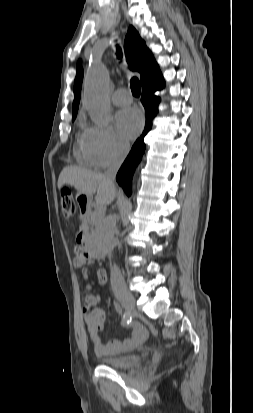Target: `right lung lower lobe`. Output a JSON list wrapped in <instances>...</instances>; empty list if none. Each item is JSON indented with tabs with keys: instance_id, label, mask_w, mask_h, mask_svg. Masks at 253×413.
<instances>
[{
	"instance_id": "1",
	"label": "right lung lower lobe",
	"mask_w": 253,
	"mask_h": 413,
	"mask_svg": "<svg viewBox=\"0 0 253 413\" xmlns=\"http://www.w3.org/2000/svg\"><path fill=\"white\" fill-rule=\"evenodd\" d=\"M164 85V79L161 74L147 79L142 84L143 92L141 102L145 108V128L142 135L134 143L129 155L125 159L116 176L118 184L122 186L128 195L131 193V180L133 173L145 151V143L143 141L144 136L152 129V120L158 112L160 98L155 96L154 92L161 90Z\"/></svg>"
}]
</instances>
